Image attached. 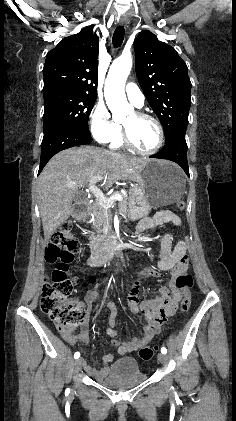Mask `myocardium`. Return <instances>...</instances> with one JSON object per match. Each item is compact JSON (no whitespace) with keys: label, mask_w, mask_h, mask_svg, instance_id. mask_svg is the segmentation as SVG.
<instances>
[{"label":"myocardium","mask_w":236,"mask_h":421,"mask_svg":"<svg viewBox=\"0 0 236 421\" xmlns=\"http://www.w3.org/2000/svg\"><path fill=\"white\" fill-rule=\"evenodd\" d=\"M135 113H136V115L139 118L146 119V120L152 122L155 125V127L157 129V134H158L157 143L154 146V148H152L151 150L144 151V150H141V149L137 148L132 143V141H131V139H130V137L128 135V132H127V130L125 128V126L122 125V140H123V144L128 149H130L131 151H133V152H135V153H137L139 155H143V156H151V155H154V154H156L161 149V147H162V145L164 143V129H163V126L161 125V123L156 118H154L153 116H151L149 114H146V113H143V112H140V111H137Z\"/></svg>","instance_id":"obj_1"}]
</instances>
